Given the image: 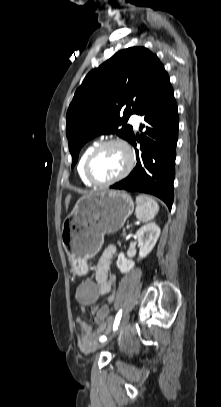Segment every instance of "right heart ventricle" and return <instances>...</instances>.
Listing matches in <instances>:
<instances>
[{"instance_id":"right-heart-ventricle-1","label":"right heart ventricle","mask_w":221,"mask_h":407,"mask_svg":"<svg viewBox=\"0 0 221 407\" xmlns=\"http://www.w3.org/2000/svg\"><path fill=\"white\" fill-rule=\"evenodd\" d=\"M98 145L97 142H94L92 144H90L89 146H87L83 152L81 153L78 163H77V172H78V176L81 180V182L86 185V186H92V184L86 179L85 175H84V162L86 160V157L88 156V154L92 151V149L94 147H96Z\"/></svg>"}]
</instances>
